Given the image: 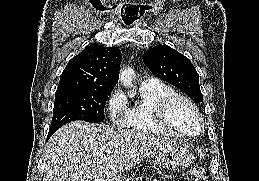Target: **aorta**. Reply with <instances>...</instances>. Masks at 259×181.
Segmentation results:
<instances>
[{"label":"aorta","instance_id":"aorta-1","mask_svg":"<svg viewBox=\"0 0 259 181\" xmlns=\"http://www.w3.org/2000/svg\"><path fill=\"white\" fill-rule=\"evenodd\" d=\"M134 77H135V73H134L133 69H123L120 72L119 80L121 81L123 86L130 87V86H132V81H133ZM132 96L133 95H131V97Z\"/></svg>","mask_w":259,"mask_h":181}]
</instances>
